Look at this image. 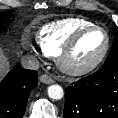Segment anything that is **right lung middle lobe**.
I'll list each match as a JSON object with an SVG mask.
<instances>
[{"label": "right lung middle lobe", "mask_w": 118, "mask_h": 118, "mask_svg": "<svg viewBox=\"0 0 118 118\" xmlns=\"http://www.w3.org/2000/svg\"><path fill=\"white\" fill-rule=\"evenodd\" d=\"M6 15L7 14L5 12L0 13V22H2L6 18Z\"/></svg>", "instance_id": "right-lung-middle-lobe-1"}]
</instances>
